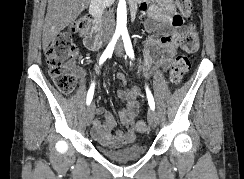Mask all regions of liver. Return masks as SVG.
I'll list each match as a JSON object with an SVG mask.
<instances>
[{
    "label": "liver",
    "instance_id": "1",
    "mask_svg": "<svg viewBox=\"0 0 244 179\" xmlns=\"http://www.w3.org/2000/svg\"><path fill=\"white\" fill-rule=\"evenodd\" d=\"M89 4L90 0H48L42 36V48L44 52L48 48L51 40L61 30H64L68 24H72Z\"/></svg>",
    "mask_w": 244,
    "mask_h": 179
}]
</instances>
